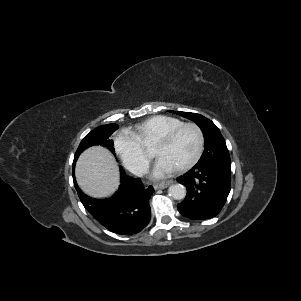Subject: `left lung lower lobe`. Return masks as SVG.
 <instances>
[{"label": "left lung lower lobe", "instance_id": "left-lung-lower-lobe-1", "mask_svg": "<svg viewBox=\"0 0 301 301\" xmlns=\"http://www.w3.org/2000/svg\"><path fill=\"white\" fill-rule=\"evenodd\" d=\"M187 189L178 211L192 220L215 217L226 203L231 188V165L223 163L196 164L177 178Z\"/></svg>", "mask_w": 301, "mask_h": 301}]
</instances>
